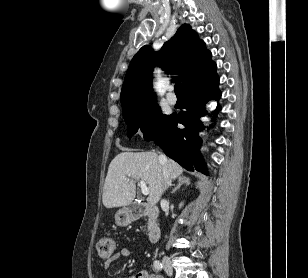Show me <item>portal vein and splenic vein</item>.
Listing matches in <instances>:
<instances>
[{
    "instance_id": "18ae733b",
    "label": "portal vein and splenic vein",
    "mask_w": 308,
    "mask_h": 278,
    "mask_svg": "<svg viewBox=\"0 0 308 278\" xmlns=\"http://www.w3.org/2000/svg\"><path fill=\"white\" fill-rule=\"evenodd\" d=\"M139 186H140V188H141V191H142V194H143V195H148V194H149V189H148V187H147L145 181L140 180Z\"/></svg>"
}]
</instances>
